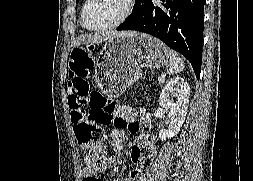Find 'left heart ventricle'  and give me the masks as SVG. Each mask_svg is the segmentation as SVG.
<instances>
[{
  "mask_svg": "<svg viewBox=\"0 0 253 181\" xmlns=\"http://www.w3.org/2000/svg\"><path fill=\"white\" fill-rule=\"evenodd\" d=\"M126 8V0H92L85 20L88 26L99 28L119 19Z\"/></svg>",
  "mask_w": 253,
  "mask_h": 181,
  "instance_id": "obj_1",
  "label": "left heart ventricle"
}]
</instances>
